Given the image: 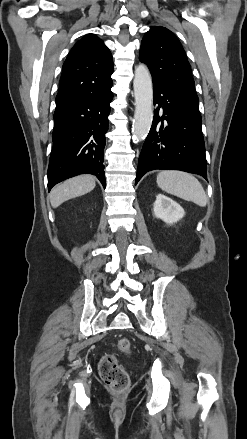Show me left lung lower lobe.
Returning a JSON list of instances; mask_svg holds the SVG:
<instances>
[{"label": "left lung lower lobe", "mask_w": 247, "mask_h": 439, "mask_svg": "<svg viewBox=\"0 0 247 439\" xmlns=\"http://www.w3.org/2000/svg\"><path fill=\"white\" fill-rule=\"evenodd\" d=\"M153 97L157 108L139 157L135 184L155 169L182 170L207 179L199 103L156 82Z\"/></svg>", "instance_id": "obj_1"}]
</instances>
